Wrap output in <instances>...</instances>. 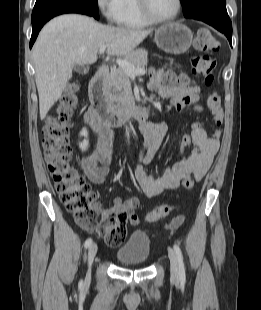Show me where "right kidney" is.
I'll return each instance as SVG.
<instances>
[{
	"instance_id": "ca27d5eb",
	"label": "right kidney",
	"mask_w": 261,
	"mask_h": 310,
	"mask_svg": "<svg viewBox=\"0 0 261 310\" xmlns=\"http://www.w3.org/2000/svg\"><path fill=\"white\" fill-rule=\"evenodd\" d=\"M80 136H84L85 139L82 143H79V147L81 148V150H86L88 148L89 142L87 140L88 132L85 128L80 132Z\"/></svg>"
}]
</instances>
